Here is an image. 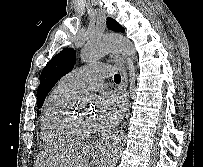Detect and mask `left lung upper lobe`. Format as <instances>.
Segmentation results:
<instances>
[{"label": "left lung upper lobe", "instance_id": "5c2ea615", "mask_svg": "<svg viewBox=\"0 0 203 167\" xmlns=\"http://www.w3.org/2000/svg\"><path fill=\"white\" fill-rule=\"evenodd\" d=\"M107 27L113 31L124 32V28L112 18H107ZM75 62V51L66 48L47 63L40 76V85L37 90V109L42 107L46 96L58 80L73 69Z\"/></svg>", "mask_w": 203, "mask_h": 167}]
</instances>
